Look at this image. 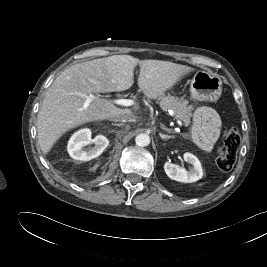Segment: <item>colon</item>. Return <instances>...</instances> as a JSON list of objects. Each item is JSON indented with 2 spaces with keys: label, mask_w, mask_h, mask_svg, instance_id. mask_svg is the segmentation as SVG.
<instances>
[{
  "label": "colon",
  "mask_w": 267,
  "mask_h": 267,
  "mask_svg": "<svg viewBox=\"0 0 267 267\" xmlns=\"http://www.w3.org/2000/svg\"><path fill=\"white\" fill-rule=\"evenodd\" d=\"M239 146V131L236 128H232L226 132L223 145L216 160L217 166L221 171L228 172L233 168Z\"/></svg>",
  "instance_id": "colon-1"
}]
</instances>
